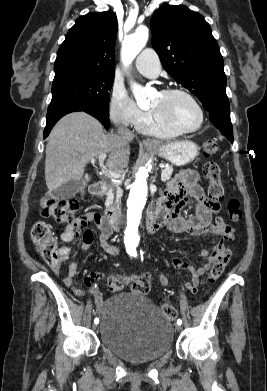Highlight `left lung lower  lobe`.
<instances>
[{
    "label": "left lung lower lobe",
    "instance_id": "1",
    "mask_svg": "<svg viewBox=\"0 0 267 391\" xmlns=\"http://www.w3.org/2000/svg\"><path fill=\"white\" fill-rule=\"evenodd\" d=\"M209 114L210 120L214 124V126L219 128L223 135L227 137L231 143H233V129L230 120L229 107H221L214 109L210 111Z\"/></svg>",
    "mask_w": 267,
    "mask_h": 391
}]
</instances>
